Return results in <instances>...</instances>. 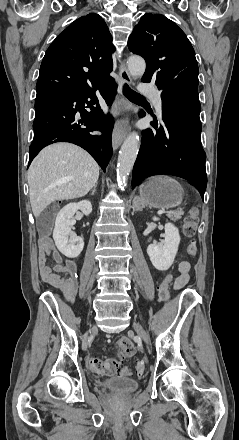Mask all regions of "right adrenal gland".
Here are the masks:
<instances>
[{
  "instance_id": "right-adrenal-gland-1",
  "label": "right adrenal gland",
  "mask_w": 239,
  "mask_h": 440,
  "mask_svg": "<svg viewBox=\"0 0 239 440\" xmlns=\"http://www.w3.org/2000/svg\"><path fill=\"white\" fill-rule=\"evenodd\" d=\"M96 188H97V184H96V186H94L93 190H91V194H92V196H94V194H95V192H96Z\"/></svg>"
}]
</instances>
